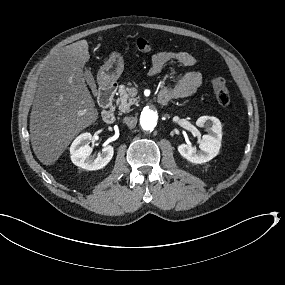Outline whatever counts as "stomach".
Returning a JSON list of instances; mask_svg holds the SVG:
<instances>
[{"mask_svg": "<svg viewBox=\"0 0 285 285\" xmlns=\"http://www.w3.org/2000/svg\"><path fill=\"white\" fill-rule=\"evenodd\" d=\"M123 71V57L118 52H112L106 65L101 68L98 80L102 84L109 85L115 82Z\"/></svg>", "mask_w": 285, "mask_h": 285, "instance_id": "stomach-1", "label": "stomach"}]
</instances>
